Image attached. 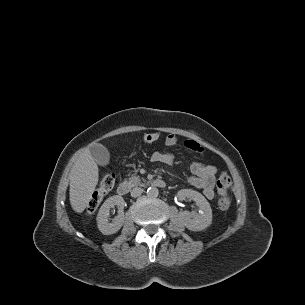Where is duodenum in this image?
<instances>
[{"mask_svg":"<svg viewBox=\"0 0 305 305\" xmlns=\"http://www.w3.org/2000/svg\"><path fill=\"white\" fill-rule=\"evenodd\" d=\"M152 186L164 188L166 186V182L163 179H155L152 181ZM130 191V184L128 182H121L117 188V192L119 195L124 196L127 195Z\"/></svg>","mask_w":305,"mask_h":305,"instance_id":"duodenum-1","label":"duodenum"}]
</instances>
